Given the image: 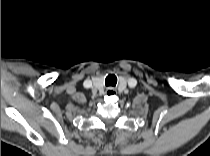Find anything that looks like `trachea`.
<instances>
[{
  "label": "trachea",
  "instance_id": "1",
  "mask_svg": "<svg viewBox=\"0 0 210 156\" xmlns=\"http://www.w3.org/2000/svg\"><path fill=\"white\" fill-rule=\"evenodd\" d=\"M117 84V77L113 74L108 75L105 79V85L106 86H112L115 87Z\"/></svg>",
  "mask_w": 210,
  "mask_h": 156
}]
</instances>
